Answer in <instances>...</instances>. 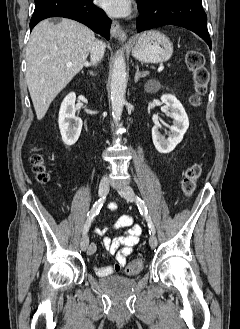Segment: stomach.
<instances>
[{"label":"stomach","instance_id":"1","mask_svg":"<svg viewBox=\"0 0 240 329\" xmlns=\"http://www.w3.org/2000/svg\"><path fill=\"white\" fill-rule=\"evenodd\" d=\"M173 53V45L168 37L159 31H146L138 36L132 55L144 63L167 61Z\"/></svg>","mask_w":240,"mask_h":329}]
</instances>
